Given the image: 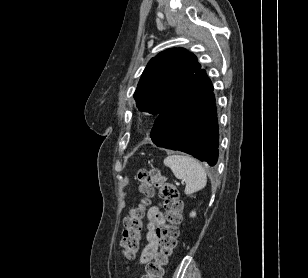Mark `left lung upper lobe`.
Wrapping results in <instances>:
<instances>
[{
  "mask_svg": "<svg viewBox=\"0 0 308 278\" xmlns=\"http://www.w3.org/2000/svg\"><path fill=\"white\" fill-rule=\"evenodd\" d=\"M200 70L196 56L184 48H171L159 53L147 64L134 93L138 109L159 115Z\"/></svg>",
  "mask_w": 308,
  "mask_h": 278,
  "instance_id": "5c2ea615",
  "label": "left lung upper lobe"
}]
</instances>
